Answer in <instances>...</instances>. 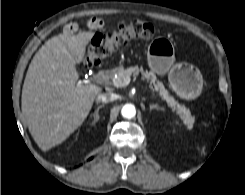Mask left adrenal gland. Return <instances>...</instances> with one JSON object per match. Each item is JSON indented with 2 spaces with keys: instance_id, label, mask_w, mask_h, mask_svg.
Wrapping results in <instances>:
<instances>
[{
  "instance_id": "a2214340",
  "label": "left adrenal gland",
  "mask_w": 245,
  "mask_h": 195,
  "mask_svg": "<svg viewBox=\"0 0 245 195\" xmlns=\"http://www.w3.org/2000/svg\"><path fill=\"white\" fill-rule=\"evenodd\" d=\"M149 108H150V111L151 110H154V109H156V110H162V108L159 107L157 104H149Z\"/></svg>"
}]
</instances>
